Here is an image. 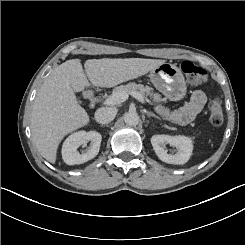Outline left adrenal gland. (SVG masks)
I'll use <instances>...</instances> for the list:
<instances>
[{"label": "left adrenal gland", "instance_id": "a2214340", "mask_svg": "<svg viewBox=\"0 0 245 245\" xmlns=\"http://www.w3.org/2000/svg\"><path fill=\"white\" fill-rule=\"evenodd\" d=\"M143 112L146 113L148 117L152 116V117L157 118L158 120H161V118L157 116L156 114H154L153 112H148L145 109L143 110Z\"/></svg>", "mask_w": 245, "mask_h": 245}]
</instances>
